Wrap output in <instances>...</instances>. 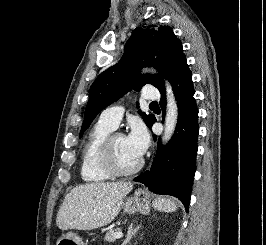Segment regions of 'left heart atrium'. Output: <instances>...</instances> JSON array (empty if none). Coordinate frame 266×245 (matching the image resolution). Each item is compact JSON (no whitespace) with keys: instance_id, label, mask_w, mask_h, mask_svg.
I'll return each mask as SVG.
<instances>
[{"instance_id":"obj_1","label":"left heart atrium","mask_w":266,"mask_h":245,"mask_svg":"<svg viewBox=\"0 0 266 245\" xmlns=\"http://www.w3.org/2000/svg\"><path fill=\"white\" fill-rule=\"evenodd\" d=\"M129 151L140 159L148 145V134L140 123H133L129 133L124 137Z\"/></svg>"}]
</instances>
